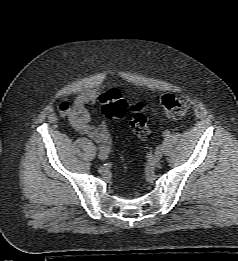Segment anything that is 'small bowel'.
Listing matches in <instances>:
<instances>
[{
  "label": "small bowel",
  "instance_id": "c3829d8e",
  "mask_svg": "<svg viewBox=\"0 0 238 261\" xmlns=\"http://www.w3.org/2000/svg\"><path fill=\"white\" fill-rule=\"evenodd\" d=\"M100 93L98 90H86L80 93L71 105L62 103L60 112L67 117L72 127L79 133L88 136L96 143L109 144L111 136L108 125L105 121L100 122L97 126L90 123V113L88 105H94L99 102Z\"/></svg>",
  "mask_w": 238,
  "mask_h": 261
}]
</instances>
